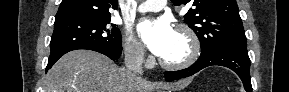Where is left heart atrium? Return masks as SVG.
Listing matches in <instances>:
<instances>
[{
    "label": "left heart atrium",
    "instance_id": "left-heart-atrium-1",
    "mask_svg": "<svg viewBox=\"0 0 289 92\" xmlns=\"http://www.w3.org/2000/svg\"><path fill=\"white\" fill-rule=\"evenodd\" d=\"M137 31L145 46L161 58L169 51L176 32L167 19L143 20Z\"/></svg>",
    "mask_w": 289,
    "mask_h": 92
}]
</instances>
